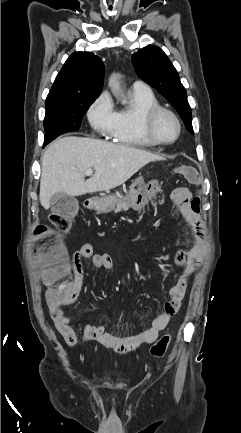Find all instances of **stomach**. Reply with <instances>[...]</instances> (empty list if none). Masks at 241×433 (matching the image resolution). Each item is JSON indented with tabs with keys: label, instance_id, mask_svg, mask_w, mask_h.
I'll return each mask as SVG.
<instances>
[{
	"label": "stomach",
	"instance_id": "1",
	"mask_svg": "<svg viewBox=\"0 0 241 433\" xmlns=\"http://www.w3.org/2000/svg\"><path fill=\"white\" fill-rule=\"evenodd\" d=\"M161 192L162 188L157 180L145 183L144 178L139 177L132 183L126 196L120 193L101 194L100 197L91 199V207L98 211L107 212L113 209L117 201L123 199L129 202L131 206L140 208L145 206L148 201L155 199Z\"/></svg>",
	"mask_w": 241,
	"mask_h": 433
}]
</instances>
